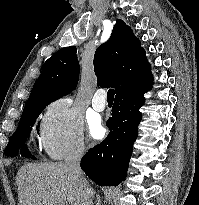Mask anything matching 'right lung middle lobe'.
<instances>
[{
	"label": "right lung middle lobe",
	"mask_w": 199,
	"mask_h": 205,
	"mask_svg": "<svg viewBox=\"0 0 199 205\" xmlns=\"http://www.w3.org/2000/svg\"><path fill=\"white\" fill-rule=\"evenodd\" d=\"M53 101L54 100L41 99L31 101L25 105L19 126L11 136L9 143L5 148L6 156H15L20 152L22 156L31 157V154L25 145V141L29 137L32 126L40 113ZM33 159H35V157H33Z\"/></svg>",
	"instance_id": "obj_1"
}]
</instances>
